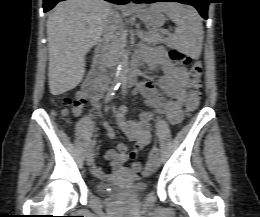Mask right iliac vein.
Returning <instances> with one entry per match:
<instances>
[{
  "mask_svg": "<svg viewBox=\"0 0 260 217\" xmlns=\"http://www.w3.org/2000/svg\"><path fill=\"white\" fill-rule=\"evenodd\" d=\"M93 161H94V154L92 151L88 152L87 153V156H86V163L88 166H91L93 164Z\"/></svg>",
  "mask_w": 260,
  "mask_h": 217,
  "instance_id": "63e3f726",
  "label": "right iliac vein"
}]
</instances>
